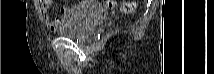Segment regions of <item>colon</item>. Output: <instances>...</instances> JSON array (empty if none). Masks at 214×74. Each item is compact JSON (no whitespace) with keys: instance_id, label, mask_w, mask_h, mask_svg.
Wrapping results in <instances>:
<instances>
[{"instance_id":"1","label":"colon","mask_w":214,"mask_h":74,"mask_svg":"<svg viewBox=\"0 0 214 74\" xmlns=\"http://www.w3.org/2000/svg\"><path fill=\"white\" fill-rule=\"evenodd\" d=\"M118 4L117 1H105V5L108 8H114ZM136 7L135 2H125V3H120V8L123 12H132L134 11Z\"/></svg>"}]
</instances>
